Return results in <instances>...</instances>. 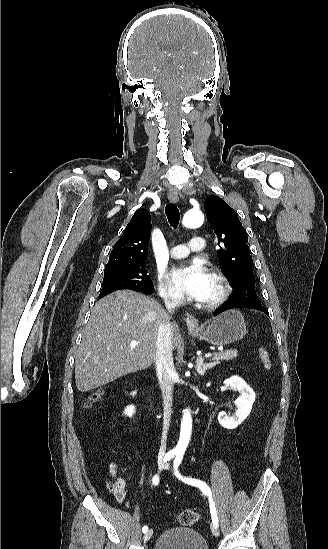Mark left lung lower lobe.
Segmentation results:
<instances>
[{
    "instance_id": "0a47b994",
    "label": "left lung lower lobe",
    "mask_w": 328,
    "mask_h": 549,
    "mask_svg": "<svg viewBox=\"0 0 328 549\" xmlns=\"http://www.w3.org/2000/svg\"><path fill=\"white\" fill-rule=\"evenodd\" d=\"M234 308H251V309H256V310H259V311H262L264 313H266L267 315H269L268 313V310L265 309L261 302L260 301H252V302H249V301H245V300H233V299H230L226 304H224L223 306H221L220 308H218L215 312H214V316L226 311V310H229V309H234Z\"/></svg>"
}]
</instances>
